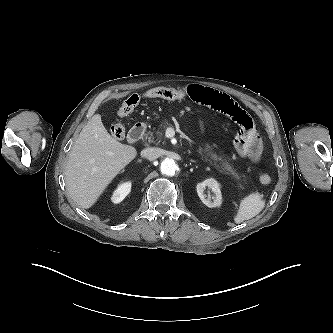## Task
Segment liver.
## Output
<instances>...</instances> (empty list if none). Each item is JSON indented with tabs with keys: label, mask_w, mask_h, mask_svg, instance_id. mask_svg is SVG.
<instances>
[{
	"label": "liver",
	"mask_w": 333,
	"mask_h": 333,
	"mask_svg": "<svg viewBox=\"0 0 333 333\" xmlns=\"http://www.w3.org/2000/svg\"><path fill=\"white\" fill-rule=\"evenodd\" d=\"M136 156V148L112 138L101 115L95 114L80 132L65 167V182L71 198L82 208L92 207Z\"/></svg>",
	"instance_id": "6515ba94"
}]
</instances>
